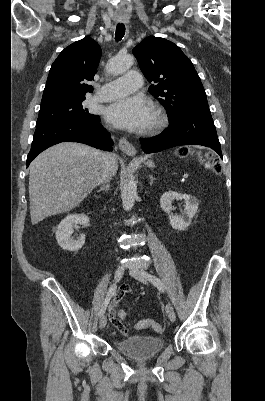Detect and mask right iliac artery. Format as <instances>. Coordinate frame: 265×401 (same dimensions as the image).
<instances>
[{"mask_svg": "<svg viewBox=\"0 0 265 401\" xmlns=\"http://www.w3.org/2000/svg\"><path fill=\"white\" fill-rule=\"evenodd\" d=\"M116 289H117L116 283H115V284H112V285L110 286V288H109V290H108V292H107L106 298H105V300H104V302H103V304H102V306H101L100 312H99V316H100V317H102V316L104 315V313H105V311H106V308H107V306H108V304H109V301H110V299L112 298V296L115 294Z\"/></svg>", "mask_w": 265, "mask_h": 401, "instance_id": "obj_1", "label": "right iliac artery"}]
</instances>
